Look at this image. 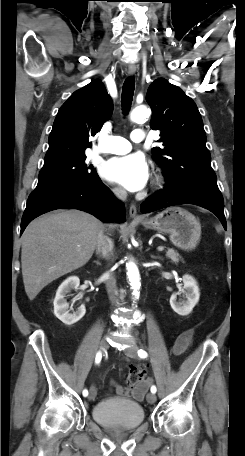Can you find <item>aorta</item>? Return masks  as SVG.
I'll use <instances>...</instances> for the list:
<instances>
[{
    "instance_id": "obj_1",
    "label": "aorta",
    "mask_w": 245,
    "mask_h": 456,
    "mask_svg": "<svg viewBox=\"0 0 245 456\" xmlns=\"http://www.w3.org/2000/svg\"><path fill=\"white\" fill-rule=\"evenodd\" d=\"M151 114L150 109L146 106H138L131 113V120L133 122H139L148 118ZM127 268V277L130 283L131 288L133 289V295L135 299L139 297V288H140V275L136 264L133 261L126 263Z\"/></svg>"
}]
</instances>
